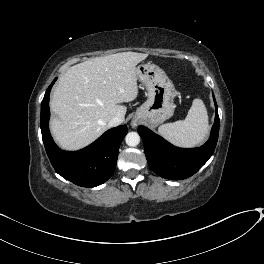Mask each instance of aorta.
Returning a JSON list of instances; mask_svg holds the SVG:
<instances>
[{"label":"aorta","instance_id":"1","mask_svg":"<svg viewBox=\"0 0 264 264\" xmlns=\"http://www.w3.org/2000/svg\"><path fill=\"white\" fill-rule=\"evenodd\" d=\"M128 146L135 147L140 143V136L137 132H129L125 137Z\"/></svg>","mask_w":264,"mask_h":264}]
</instances>
